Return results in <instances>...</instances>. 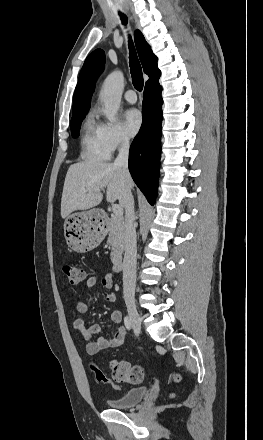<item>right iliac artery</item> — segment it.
<instances>
[{"instance_id":"1","label":"right iliac artery","mask_w":263,"mask_h":440,"mask_svg":"<svg viewBox=\"0 0 263 440\" xmlns=\"http://www.w3.org/2000/svg\"><path fill=\"white\" fill-rule=\"evenodd\" d=\"M124 325L128 330L131 329L132 324H131V320L128 316L124 317Z\"/></svg>"}]
</instances>
